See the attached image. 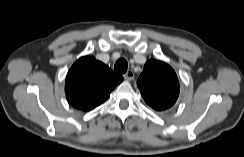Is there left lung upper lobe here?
<instances>
[{
  "label": "left lung upper lobe",
  "mask_w": 244,
  "mask_h": 157,
  "mask_svg": "<svg viewBox=\"0 0 244 157\" xmlns=\"http://www.w3.org/2000/svg\"><path fill=\"white\" fill-rule=\"evenodd\" d=\"M137 85L146 103L157 111L173 106L179 95L176 73L162 61H147Z\"/></svg>",
  "instance_id": "5c2ea615"
}]
</instances>
